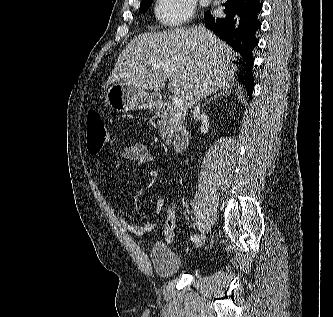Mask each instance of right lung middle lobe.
Wrapping results in <instances>:
<instances>
[{"mask_svg":"<svg viewBox=\"0 0 333 317\" xmlns=\"http://www.w3.org/2000/svg\"><path fill=\"white\" fill-rule=\"evenodd\" d=\"M152 1L153 0L142 1L141 5H140V11L143 12V13L146 12L149 9Z\"/></svg>","mask_w":333,"mask_h":317,"instance_id":"1","label":"right lung middle lobe"}]
</instances>
